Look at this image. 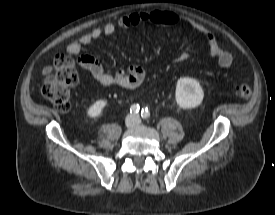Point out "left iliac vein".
Instances as JSON below:
<instances>
[{
  "mask_svg": "<svg viewBox=\"0 0 275 215\" xmlns=\"http://www.w3.org/2000/svg\"><path fill=\"white\" fill-rule=\"evenodd\" d=\"M137 125H140V121H137V123H136Z\"/></svg>",
  "mask_w": 275,
  "mask_h": 215,
  "instance_id": "1",
  "label": "left iliac vein"
}]
</instances>
